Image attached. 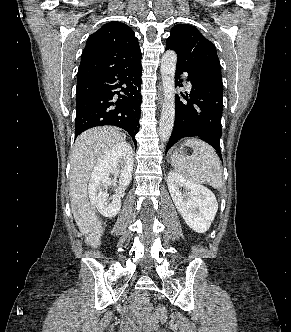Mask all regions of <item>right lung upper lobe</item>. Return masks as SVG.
<instances>
[{
    "label": "right lung upper lobe",
    "mask_w": 291,
    "mask_h": 332,
    "mask_svg": "<svg viewBox=\"0 0 291 332\" xmlns=\"http://www.w3.org/2000/svg\"><path fill=\"white\" fill-rule=\"evenodd\" d=\"M141 51L133 30L121 22H109L93 33L83 50L78 78L133 65Z\"/></svg>",
    "instance_id": "right-lung-upper-lobe-1"
}]
</instances>
